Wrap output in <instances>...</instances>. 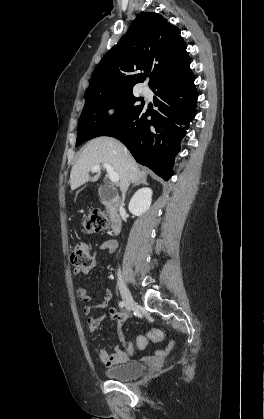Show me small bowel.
<instances>
[{
	"label": "small bowel",
	"instance_id": "c3829d8e",
	"mask_svg": "<svg viewBox=\"0 0 264 419\" xmlns=\"http://www.w3.org/2000/svg\"><path fill=\"white\" fill-rule=\"evenodd\" d=\"M98 248L102 251L113 253L116 249V244L113 240H108V239L101 240L98 245ZM93 266H94V262L90 268H76L74 270V276L80 277L84 274H87ZM77 295H78V298L84 302H89L92 299L91 296L88 294L87 289L85 288H79L77 291ZM111 297L112 295L110 291L105 290L103 301L97 307L106 308L108 306L109 301L111 300ZM91 310H92L91 306H88V305L84 306L82 309L83 314L87 316L91 313ZM109 314L116 323L115 334L119 337L121 345L117 346L114 349V351L110 354L101 348H97L96 351H97L98 358L101 360V362L105 366L113 367V366L127 362L129 357L134 354L135 350L131 347L130 343L126 342V339L122 330L123 323L126 320V314L122 312H117L114 308L109 309ZM104 319H105V314H102L99 317L89 316L87 319L89 331L95 332L96 330H98ZM152 331L157 332V337L154 340V342L160 341L163 337L162 331L159 329H153ZM170 348H171V344H169L166 347V349L157 351L156 354L162 355L166 351H168Z\"/></svg>",
	"mask_w": 264,
	"mask_h": 419
}]
</instances>
